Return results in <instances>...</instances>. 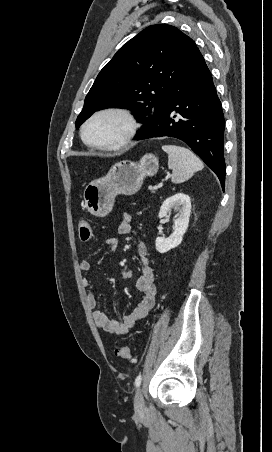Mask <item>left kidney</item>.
Here are the masks:
<instances>
[{
    "mask_svg": "<svg viewBox=\"0 0 272 452\" xmlns=\"http://www.w3.org/2000/svg\"><path fill=\"white\" fill-rule=\"evenodd\" d=\"M171 209L178 212L177 218L174 219V231L167 238H156L155 246L159 253H166L181 244L183 235L185 234L189 223L191 212L190 197L184 193H177L170 196L162 203L158 217H167Z\"/></svg>",
    "mask_w": 272,
    "mask_h": 452,
    "instance_id": "1",
    "label": "left kidney"
}]
</instances>
